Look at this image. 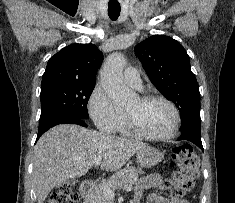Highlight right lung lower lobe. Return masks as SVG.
I'll return each mask as SVG.
<instances>
[{"instance_id":"1","label":"right lung lower lobe","mask_w":235,"mask_h":203,"mask_svg":"<svg viewBox=\"0 0 235 203\" xmlns=\"http://www.w3.org/2000/svg\"><path fill=\"white\" fill-rule=\"evenodd\" d=\"M77 124L80 126L87 127V124L85 123V120L77 118V117H72V116H60V117H55L52 119H49L47 121H44L42 123H39V130H38V135L36 141L40 138V136L46 132L48 129L51 127H54L55 125L58 124Z\"/></svg>"}]
</instances>
